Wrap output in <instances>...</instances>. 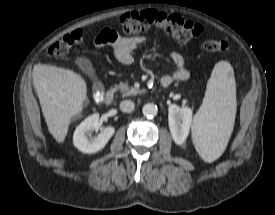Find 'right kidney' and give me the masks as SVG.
Returning a JSON list of instances; mask_svg holds the SVG:
<instances>
[{"instance_id": "right-kidney-1", "label": "right kidney", "mask_w": 275, "mask_h": 215, "mask_svg": "<svg viewBox=\"0 0 275 215\" xmlns=\"http://www.w3.org/2000/svg\"><path fill=\"white\" fill-rule=\"evenodd\" d=\"M98 120L99 114L95 113L87 117L74 132V146L83 153L92 154L103 149L115 133L113 127H106L97 137H89L88 134L97 129Z\"/></svg>"}]
</instances>
